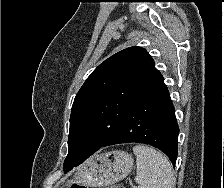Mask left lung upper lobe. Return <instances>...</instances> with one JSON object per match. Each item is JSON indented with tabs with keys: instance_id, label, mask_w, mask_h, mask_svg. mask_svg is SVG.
<instances>
[{
	"instance_id": "1",
	"label": "left lung upper lobe",
	"mask_w": 224,
	"mask_h": 188,
	"mask_svg": "<svg viewBox=\"0 0 224 188\" xmlns=\"http://www.w3.org/2000/svg\"><path fill=\"white\" fill-rule=\"evenodd\" d=\"M162 79L152 57L141 47L124 49L101 63L75 97L64 169L100 149L133 102Z\"/></svg>"
}]
</instances>
